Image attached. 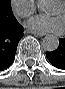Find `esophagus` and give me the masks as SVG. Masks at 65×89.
<instances>
[{"instance_id": "1", "label": "esophagus", "mask_w": 65, "mask_h": 89, "mask_svg": "<svg viewBox=\"0 0 65 89\" xmlns=\"http://www.w3.org/2000/svg\"><path fill=\"white\" fill-rule=\"evenodd\" d=\"M27 33H31V34H34V35L39 36V37H42L44 35L42 33H39V32H36V31H32V30H27Z\"/></svg>"}]
</instances>
